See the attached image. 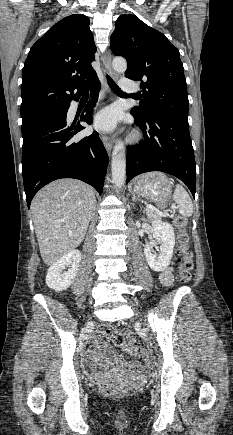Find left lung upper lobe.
I'll use <instances>...</instances> for the list:
<instances>
[{
	"instance_id": "left-lung-upper-lobe-1",
	"label": "left lung upper lobe",
	"mask_w": 233,
	"mask_h": 435,
	"mask_svg": "<svg viewBox=\"0 0 233 435\" xmlns=\"http://www.w3.org/2000/svg\"><path fill=\"white\" fill-rule=\"evenodd\" d=\"M110 40L113 54L127 60L125 76L141 81V101L130 113L140 119L153 116L188 119L183 64L178 49L166 36L128 14L117 19Z\"/></svg>"
}]
</instances>
